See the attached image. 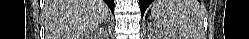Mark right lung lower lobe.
<instances>
[{"mask_svg":"<svg viewBox=\"0 0 249 39\" xmlns=\"http://www.w3.org/2000/svg\"><path fill=\"white\" fill-rule=\"evenodd\" d=\"M111 11L114 13V0H105Z\"/></svg>","mask_w":249,"mask_h":39,"instance_id":"obj_1","label":"right lung lower lobe"}]
</instances>
